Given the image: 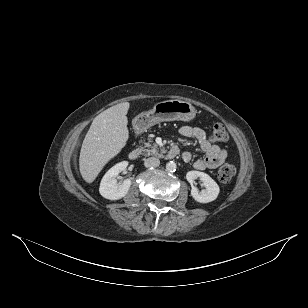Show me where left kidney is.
Wrapping results in <instances>:
<instances>
[{
  "instance_id": "1",
  "label": "left kidney",
  "mask_w": 308,
  "mask_h": 308,
  "mask_svg": "<svg viewBox=\"0 0 308 308\" xmlns=\"http://www.w3.org/2000/svg\"><path fill=\"white\" fill-rule=\"evenodd\" d=\"M199 178L206 189L201 192L193 186L195 179ZM187 181L192 185L191 196L199 203H209L214 201L219 195L218 184L206 173L200 171H189L186 174Z\"/></svg>"
}]
</instances>
